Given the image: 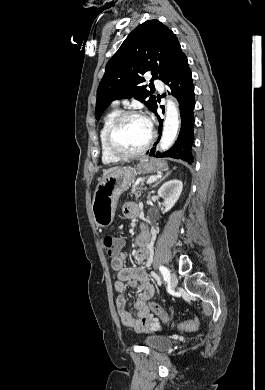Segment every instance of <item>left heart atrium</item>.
Segmentation results:
<instances>
[{
  "label": "left heart atrium",
  "instance_id": "39dd6f15",
  "mask_svg": "<svg viewBox=\"0 0 265 390\" xmlns=\"http://www.w3.org/2000/svg\"><path fill=\"white\" fill-rule=\"evenodd\" d=\"M147 125L149 126V123L146 121Z\"/></svg>",
  "mask_w": 265,
  "mask_h": 390
}]
</instances>
